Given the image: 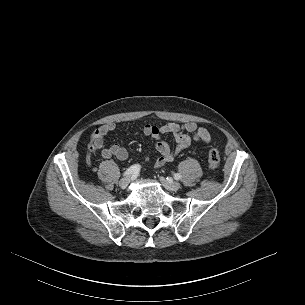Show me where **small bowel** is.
Masks as SVG:
<instances>
[{"label":"small bowel","instance_id":"c3829d8e","mask_svg":"<svg viewBox=\"0 0 305 305\" xmlns=\"http://www.w3.org/2000/svg\"><path fill=\"white\" fill-rule=\"evenodd\" d=\"M116 125L107 123L96 130L95 138L102 147L101 154L108 159L116 157L119 160H125L128 157L127 150L119 144H113L109 147H103L104 137L114 132ZM144 135L151 137L155 141V151L157 156L152 158L155 168H161L164 165L172 162L183 150L191 146L192 143L200 141L208 143L211 140L209 131L199 126L196 122H187L183 124L166 123L161 126L153 124H145L142 128ZM164 134H171L176 146L171 148L170 145L162 138Z\"/></svg>","mask_w":305,"mask_h":305}]
</instances>
